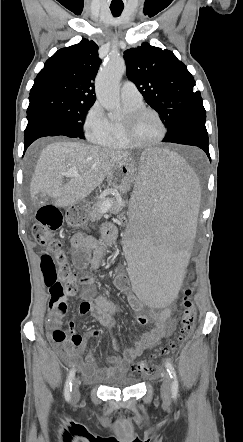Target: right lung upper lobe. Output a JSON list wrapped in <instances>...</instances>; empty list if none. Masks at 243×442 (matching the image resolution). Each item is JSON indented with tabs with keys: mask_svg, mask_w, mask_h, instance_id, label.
Masks as SVG:
<instances>
[{
	"mask_svg": "<svg viewBox=\"0 0 243 442\" xmlns=\"http://www.w3.org/2000/svg\"><path fill=\"white\" fill-rule=\"evenodd\" d=\"M101 60L95 42L82 39L79 44L59 49L38 73L30 97L60 94L93 104L94 79Z\"/></svg>",
	"mask_w": 243,
	"mask_h": 442,
	"instance_id": "cb5924a9",
	"label": "right lung upper lobe"
}]
</instances>
